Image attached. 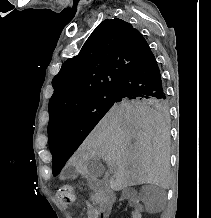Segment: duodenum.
Here are the masks:
<instances>
[{"instance_id": "1", "label": "duodenum", "mask_w": 211, "mask_h": 218, "mask_svg": "<svg viewBox=\"0 0 211 218\" xmlns=\"http://www.w3.org/2000/svg\"><path fill=\"white\" fill-rule=\"evenodd\" d=\"M87 183L98 193L100 198L99 210L107 216L116 200L114 191L110 188L106 181L93 176H87Z\"/></svg>"}]
</instances>
